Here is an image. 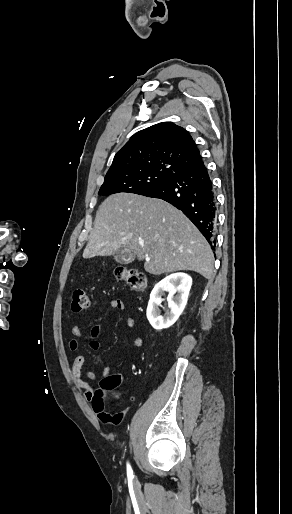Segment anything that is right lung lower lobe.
Returning a JSON list of instances; mask_svg holds the SVG:
<instances>
[{"mask_svg": "<svg viewBox=\"0 0 292 514\" xmlns=\"http://www.w3.org/2000/svg\"><path fill=\"white\" fill-rule=\"evenodd\" d=\"M143 195L165 200L181 210L214 249L217 201L203 161L172 174L166 181Z\"/></svg>", "mask_w": 292, "mask_h": 514, "instance_id": "98d812e1", "label": "right lung lower lobe"}]
</instances>
